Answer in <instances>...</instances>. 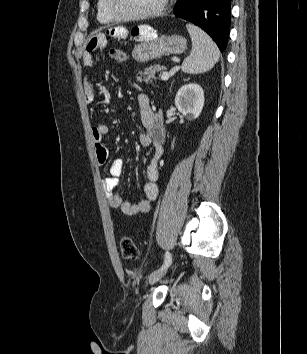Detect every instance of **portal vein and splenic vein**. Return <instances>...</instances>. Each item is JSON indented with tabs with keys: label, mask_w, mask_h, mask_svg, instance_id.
<instances>
[{
	"label": "portal vein and splenic vein",
	"mask_w": 307,
	"mask_h": 354,
	"mask_svg": "<svg viewBox=\"0 0 307 354\" xmlns=\"http://www.w3.org/2000/svg\"><path fill=\"white\" fill-rule=\"evenodd\" d=\"M170 77V74L168 72H163L161 75V80L167 81Z\"/></svg>",
	"instance_id": "portal-vein-and-splenic-vein-1"
}]
</instances>
